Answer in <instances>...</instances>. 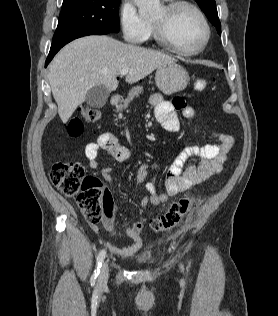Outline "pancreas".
Segmentation results:
<instances>
[{"instance_id": "pancreas-1", "label": "pancreas", "mask_w": 278, "mask_h": 316, "mask_svg": "<svg viewBox=\"0 0 278 316\" xmlns=\"http://www.w3.org/2000/svg\"><path fill=\"white\" fill-rule=\"evenodd\" d=\"M143 93V87L142 86H137L131 89L129 92L128 96L123 99L120 103V105L117 108L118 112L123 111L126 109L131 101H133L134 98L139 97V95Z\"/></svg>"}]
</instances>
